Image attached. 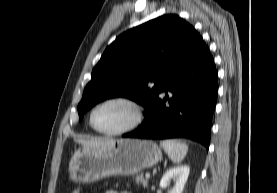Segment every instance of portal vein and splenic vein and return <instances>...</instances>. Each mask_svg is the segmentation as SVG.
<instances>
[{
	"mask_svg": "<svg viewBox=\"0 0 277 193\" xmlns=\"http://www.w3.org/2000/svg\"><path fill=\"white\" fill-rule=\"evenodd\" d=\"M145 177H146V178H150V174H149V173H146Z\"/></svg>",
	"mask_w": 277,
	"mask_h": 193,
	"instance_id": "1",
	"label": "portal vein and splenic vein"
}]
</instances>
